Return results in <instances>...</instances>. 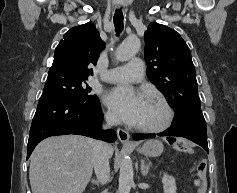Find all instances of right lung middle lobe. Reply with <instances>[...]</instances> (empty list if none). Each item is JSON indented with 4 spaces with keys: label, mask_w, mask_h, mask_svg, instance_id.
Segmentation results:
<instances>
[{
    "label": "right lung middle lobe",
    "mask_w": 237,
    "mask_h": 193,
    "mask_svg": "<svg viewBox=\"0 0 237 193\" xmlns=\"http://www.w3.org/2000/svg\"><path fill=\"white\" fill-rule=\"evenodd\" d=\"M85 80L87 78L50 72L48 73L42 97H57L76 105L98 103V97L90 94L92 88L86 84Z\"/></svg>",
    "instance_id": "right-lung-middle-lobe-1"
}]
</instances>
